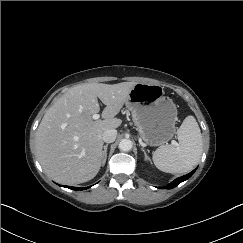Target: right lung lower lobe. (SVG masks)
I'll return each instance as SVG.
<instances>
[{
  "label": "right lung lower lobe",
  "instance_id": "1",
  "mask_svg": "<svg viewBox=\"0 0 243 243\" xmlns=\"http://www.w3.org/2000/svg\"><path fill=\"white\" fill-rule=\"evenodd\" d=\"M68 188H70V189H72V190H85V189H87V188H89V187H70V186H68Z\"/></svg>",
  "mask_w": 243,
  "mask_h": 243
}]
</instances>
